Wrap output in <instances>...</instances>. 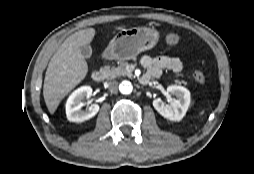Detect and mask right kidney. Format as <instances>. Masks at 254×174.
Instances as JSON below:
<instances>
[{"label":"right kidney","mask_w":254,"mask_h":174,"mask_svg":"<svg viewBox=\"0 0 254 174\" xmlns=\"http://www.w3.org/2000/svg\"><path fill=\"white\" fill-rule=\"evenodd\" d=\"M92 88L90 86H82L75 90L66 102V116L71 122H83L94 117L99 111V105L92 104L86 110H82L85 97H90Z\"/></svg>","instance_id":"ca27d5eb"}]
</instances>
